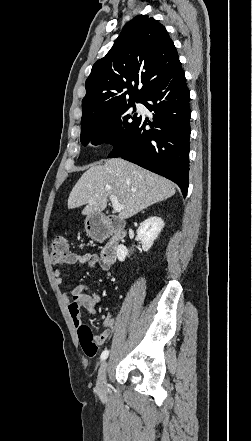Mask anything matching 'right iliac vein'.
Masks as SVG:
<instances>
[{"instance_id": "obj_1", "label": "right iliac vein", "mask_w": 252, "mask_h": 441, "mask_svg": "<svg viewBox=\"0 0 252 441\" xmlns=\"http://www.w3.org/2000/svg\"><path fill=\"white\" fill-rule=\"evenodd\" d=\"M107 369H108V362L104 361L100 366L98 379H97V393L102 398L106 397L107 395V388H106Z\"/></svg>"}]
</instances>
